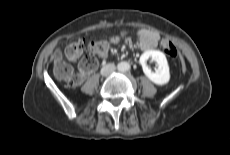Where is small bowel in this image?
I'll list each match as a JSON object with an SVG mask.
<instances>
[{
  "instance_id": "1",
  "label": "small bowel",
  "mask_w": 230,
  "mask_h": 155,
  "mask_svg": "<svg viewBox=\"0 0 230 155\" xmlns=\"http://www.w3.org/2000/svg\"><path fill=\"white\" fill-rule=\"evenodd\" d=\"M124 34H120L117 36H114L112 38H110V43L111 44H117L121 41V39L123 38ZM137 37H138V45L141 49L143 50H153L157 47L159 39H160V35L153 30L150 29H140L137 32ZM107 52L101 54V57H106ZM82 73H87L81 70Z\"/></svg>"
}]
</instances>
